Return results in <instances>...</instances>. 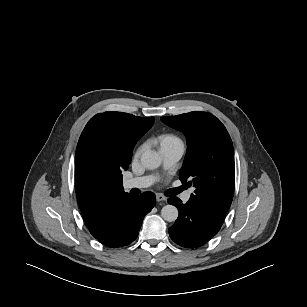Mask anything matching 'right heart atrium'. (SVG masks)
<instances>
[{
	"mask_svg": "<svg viewBox=\"0 0 307 307\" xmlns=\"http://www.w3.org/2000/svg\"><path fill=\"white\" fill-rule=\"evenodd\" d=\"M144 146L139 147V149L136 152V156H139L141 154V152L143 151Z\"/></svg>",
	"mask_w": 307,
	"mask_h": 307,
	"instance_id": "d8ad5b80",
	"label": "right heart atrium"
}]
</instances>
